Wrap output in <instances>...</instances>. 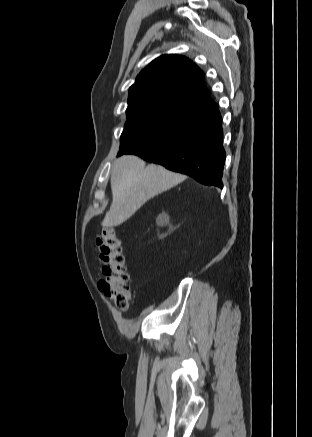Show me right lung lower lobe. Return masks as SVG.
I'll use <instances>...</instances> for the list:
<instances>
[{
	"instance_id": "98d812e1",
	"label": "right lung lower lobe",
	"mask_w": 312,
	"mask_h": 437,
	"mask_svg": "<svg viewBox=\"0 0 312 437\" xmlns=\"http://www.w3.org/2000/svg\"><path fill=\"white\" fill-rule=\"evenodd\" d=\"M221 122L215 104L174 136L125 154L139 155L149 162L187 174L204 185L222 188L226 155Z\"/></svg>"
}]
</instances>
